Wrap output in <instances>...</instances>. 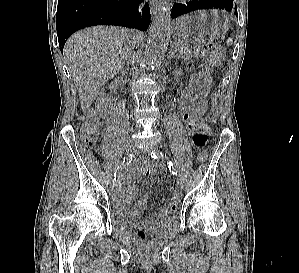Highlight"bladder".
I'll return each mask as SVG.
<instances>
[{"label": "bladder", "mask_w": 299, "mask_h": 273, "mask_svg": "<svg viewBox=\"0 0 299 273\" xmlns=\"http://www.w3.org/2000/svg\"><path fill=\"white\" fill-rule=\"evenodd\" d=\"M137 219L136 216L130 215V214H124L120 212L117 209L113 210V223L114 225L118 227H127L135 222ZM163 223L165 225H174L175 224V218L173 216H170L163 220Z\"/></svg>", "instance_id": "1"}]
</instances>
